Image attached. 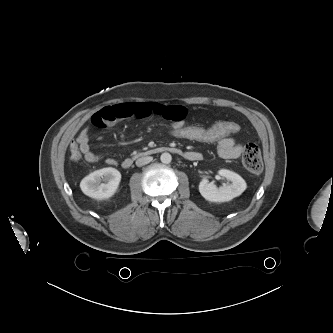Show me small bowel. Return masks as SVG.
I'll use <instances>...</instances> for the list:
<instances>
[{
  "mask_svg": "<svg viewBox=\"0 0 333 333\" xmlns=\"http://www.w3.org/2000/svg\"><path fill=\"white\" fill-rule=\"evenodd\" d=\"M156 116L171 124H185L187 110L178 105H166L158 102H128L112 106H106L91 117V123L97 127L109 128L118 121L127 118H146ZM76 142L84 159L89 163L98 162L101 157L94 153L89 145V128L86 126L79 132ZM243 151V145L233 137H227L217 142V152L223 159H236ZM189 160H199L201 155L197 152H186ZM108 165H116L114 158L105 159Z\"/></svg>",
  "mask_w": 333,
  "mask_h": 333,
  "instance_id": "1",
  "label": "small bowel"
}]
</instances>
